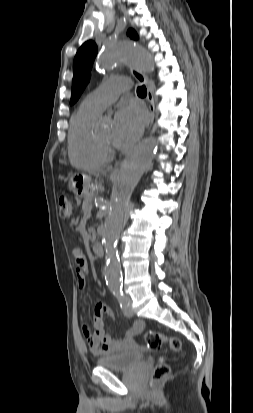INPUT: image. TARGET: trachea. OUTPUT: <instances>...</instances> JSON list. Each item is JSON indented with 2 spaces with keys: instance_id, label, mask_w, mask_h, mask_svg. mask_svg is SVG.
<instances>
[{
  "instance_id": "3493384b",
  "label": "trachea",
  "mask_w": 253,
  "mask_h": 413,
  "mask_svg": "<svg viewBox=\"0 0 253 413\" xmlns=\"http://www.w3.org/2000/svg\"><path fill=\"white\" fill-rule=\"evenodd\" d=\"M137 94H138L139 96H146V94H147V89H146V87H145L144 85L138 87V88H137Z\"/></svg>"
}]
</instances>
